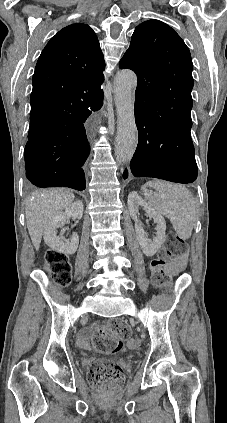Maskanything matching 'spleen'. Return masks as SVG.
<instances>
[{
	"instance_id": "spleen-1",
	"label": "spleen",
	"mask_w": 227,
	"mask_h": 423,
	"mask_svg": "<svg viewBox=\"0 0 227 423\" xmlns=\"http://www.w3.org/2000/svg\"><path fill=\"white\" fill-rule=\"evenodd\" d=\"M147 188H153L156 192H151ZM142 190L150 208L168 217L181 239H188L197 213L195 200L190 190L184 186H175L171 182H162V180H151L142 186Z\"/></svg>"
}]
</instances>
